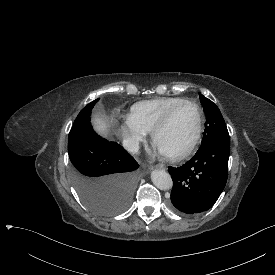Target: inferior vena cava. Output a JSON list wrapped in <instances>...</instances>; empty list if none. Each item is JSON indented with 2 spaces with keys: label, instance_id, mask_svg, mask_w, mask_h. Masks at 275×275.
<instances>
[{
  "label": "inferior vena cava",
  "instance_id": "obj_1",
  "mask_svg": "<svg viewBox=\"0 0 275 275\" xmlns=\"http://www.w3.org/2000/svg\"><path fill=\"white\" fill-rule=\"evenodd\" d=\"M123 147L131 153H137L139 150V142L134 139H126L123 141Z\"/></svg>",
  "mask_w": 275,
  "mask_h": 275
}]
</instances>
